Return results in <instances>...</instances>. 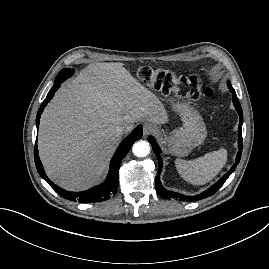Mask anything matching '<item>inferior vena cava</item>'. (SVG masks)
Segmentation results:
<instances>
[{
    "mask_svg": "<svg viewBox=\"0 0 269 269\" xmlns=\"http://www.w3.org/2000/svg\"><path fill=\"white\" fill-rule=\"evenodd\" d=\"M127 128H128V126L126 124L117 126L116 127V134L118 136H121L124 133V131H126Z\"/></svg>",
    "mask_w": 269,
    "mask_h": 269,
    "instance_id": "602c4592",
    "label": "inferior vena cava"
}]
</instances>
